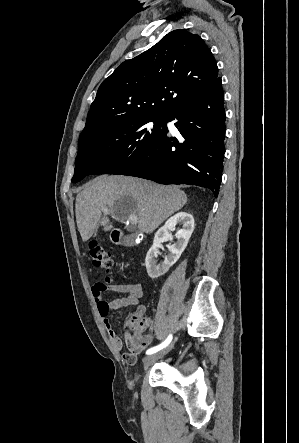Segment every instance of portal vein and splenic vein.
Returning <instances> with one entry per match:
<instances>
[{
  "mask_svg": "<svg viewBox=\"0 0 299 443\" xmlns=\"http://www.w3.org/2000/svg\"><path fill=\"white\" fill-rule=\"evenodd\" d=\"M108 212H109L108 209H103V213H104V214H107ZM128 220L130 221V223H131L132 225H136V224L138 223V218H137L136 215H130L129 218H128Z\"/></svg>",
  "mask_w": 299,
  "mask_h": 443,
  "instance_id": "portal-vein-and-splenic-vein-1",
  "label": "portal vein and splenic vein"
}]
</instances>
